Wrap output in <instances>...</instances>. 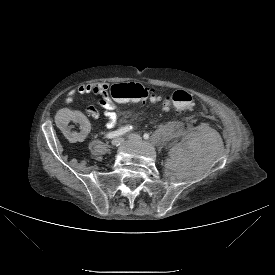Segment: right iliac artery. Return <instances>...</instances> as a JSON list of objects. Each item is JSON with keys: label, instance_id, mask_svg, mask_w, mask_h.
Returning a JSON list of instances; mask_svg holds the SVG:
<instances>
[{"label": "right iliac artery", "instance_id": "1", "mask_svg": "<svg viewBox=\"0 0 275 275\" xmlns=\"http://www.w3.org/2000/svg\"><path fill=\"white\" fill-rule=\"evenodd\" d=\"M130 130H132V126L122 127L116 131H112V132H109L108 134H106V138L112 139V138L121 136Z\"/></svg>", "mask_w": 275, "mask_h": 275}]
</instances>
